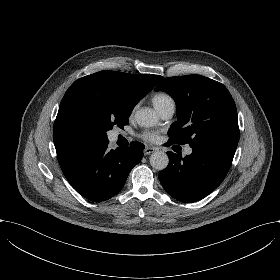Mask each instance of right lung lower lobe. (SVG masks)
<instances>
[{"label":"right lung lower lobe","instance_id":"obj_1","mask_svg":"<svg viewBox=\"0 0 280 280\" xmlns=\"http://www.w3.org/2000/svg\"><path fill=\"white\" fill-rule=\"evenodd\" d=\"M108 142L91 145L59 163L70 185L83 197L101 202L116 195L143 157L144 145L108 150Z\"/></svg>","mask_w":280,"mask_h":280}]
</instances>
